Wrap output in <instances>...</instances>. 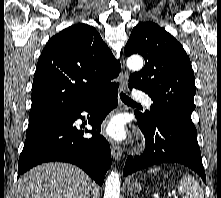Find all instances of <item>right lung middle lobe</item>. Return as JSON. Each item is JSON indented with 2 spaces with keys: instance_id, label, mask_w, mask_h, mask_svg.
<instances>
[{
  "instance_id": "obj_1",
  "label": "right lung middle lobe",
  "mask_w": 221,
  "mask_h": 198,
  "mask_svg": "<svg viewBox=\"0 0 221 198\" xmlns=\"http://www.w3.org/2000/svg\"><path fill=\"white\" fill-rule=\"evenodd\" d=\"M65 116H67V115H59V116L51 117V118H48V119L40 120V121H37V122H31V123H29L27 133H29V132H31V131H33V130L41 127V126L49 124L53 121H57L59 119H62Z\"/></svg>"
}]
</instances>
